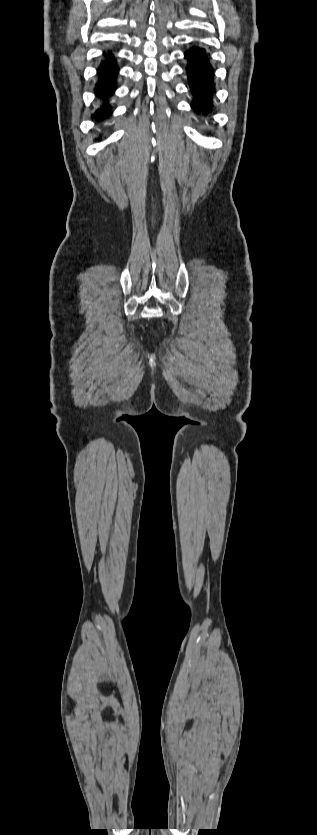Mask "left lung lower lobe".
Returning <instances> with one entry per match:
<instances>
[{"mask_svg":"<svg viewBox=\"0 0 317 835\" xmlns=\"http://www.w3.org/2000/svg\"><path fill=\"white\" fill-rule=\"evenodd\" d=\"M189 88L196 97L191 103L197 114L205 115L213 106L212 93L214 91V69L207 59L205 49L193 46L187 52Z\"/></svg>","mask_w":317,"mask_h":835,"instance_id":"left-lung-lower-lobe-1","label":"left lung lower lobe"}]
</instances>
